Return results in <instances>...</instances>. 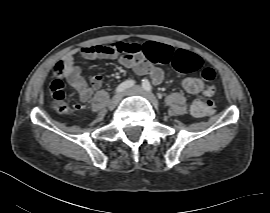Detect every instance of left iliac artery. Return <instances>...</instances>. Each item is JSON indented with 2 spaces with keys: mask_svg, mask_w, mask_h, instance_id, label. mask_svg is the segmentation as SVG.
<instances>
[{
  "mask_svg": "<svg viewBox=\"0 0 270 213\" xmlns=\"http://www.w3.org/2000/svg\"><path fill=\"white\" fill-rule=\"evenodd\" d=\"M142 86H143V88H144L146 91H150V92H151V91L153 90V88H152L150 82H149L147 79H143V80H142Z\"/></svg>",
  "mask_w": 270,
  "mask_h": 213,
  "instance_id": "1",
  "label": "left iliac artery"
}]
</instances>
